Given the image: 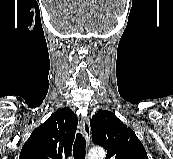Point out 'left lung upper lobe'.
Returning <instances> with one entry per match:
<instances>
[{
  "label": "left lung upper lobe",
  "instance_id": "1",
  "mask_svg": "<svg viewBox=\"0 0 173 159\" xmlns=\"http://www.w3.org/2000/svg\"><path fill=\"white\" fill-rule=\"evenodd\" d=\"M92 140L106 151V159H148L146 150L133 130L112 112L98 111L90 120Z\"/></svg>",
  "mask_w": 173,
  "mask_h": 159
}]
</instances>
